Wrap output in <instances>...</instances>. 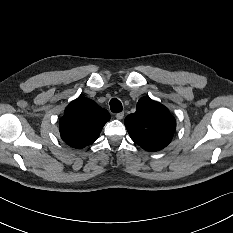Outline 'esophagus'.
Here are the masks:
<instances>
[{"label": "esophagus", "mask_w": 233, "mask_h": 233, "mask_svg": "<svg viewBox=\"0 0 233 233\" xmlns=\"http://www.w3.org/2000/svg\"><path fill=\"white\" fill-rule=\"evenodd\" d=\"M123 117H124V112H119V113L116 114V118L118 120H121Z\"/></svg>", "instance_id": "34e87169"}]
</instances>
